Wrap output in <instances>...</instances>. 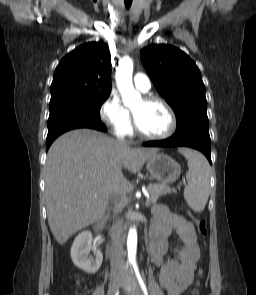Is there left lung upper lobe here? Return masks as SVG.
I'll list each match as a JSON object with an SVG mask.
<instances>
[{"instance_id": "5c2ea615", "label": "left lung upper lobe", "mask_w": 256, "mask_h": 295, "mask_svg": "<svg viewBox=\"0 0 256 295\" xmlns=\"http://www.w3.org/2000/svg\"><path fill=\"white\" fill-rule=\"evenodd\" d=\"M142 63L158 92L175 112V134L209 131L207 101L201 73L188 55L171 45H150L141 51Z\"/></svg>"}]
</instances>
